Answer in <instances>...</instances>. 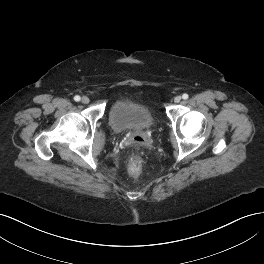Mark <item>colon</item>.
<instances>
[{"label":"colon","mask_w":264,"mask_h":264,"mask_svg":"<svg viewBox=\"0 0 264 264\" xmlns=\"http://www.w3.org/2000/svg\"><path fill=\"white\" fill-rule=\"evenodd\" d=\"M129 173L130 175L136 177L141 173V162L138 159H133L129 164Z\"/></svg>","instance_id":"1"}]
</instances>
